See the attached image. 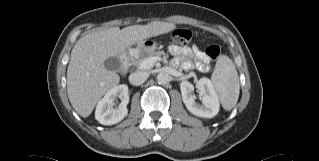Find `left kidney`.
Returning a JSON list of instances; mask_svg holds the SVG:
<instances>
[{"label": "left kidney", "instance_id": "obj_1", "mask_svg": "<svg viewBox=\"0 0 319 161\" xmlns=\"http://www.w3.org/2000/svg\"><path fill=\"white\" fill-rule=\"evenodd\" d=\"M197 88L202 96V104L195 102L193 94L194 86L188 81L180 83L183 102L193 115L202 118H212L219 112V100L212 82L208 78H201L197 83Z\"/></svg>", "mask_w": 319, "mask_h": 161}]
</instances>
